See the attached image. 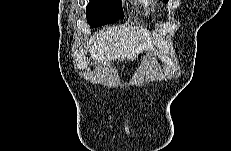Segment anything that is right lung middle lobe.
<instances>
[{
  "label": "right lung middle lobe",
  "mask_w": 231,
  "mask_h": 151,
  "mask_svg": "<svg viewBox=\"0 0 231 151\" xmlns=\"http://www.w3.org/2000/svg\"><path fill=\"white\" fill-rule=\"evenodd\" d=\"M87 22L91 27L113 24L123 17L121 0H90L86 7Z\"/></svg>",
  "instance_id": "right-lung-middle-lobe-1"
}]
</instances>
